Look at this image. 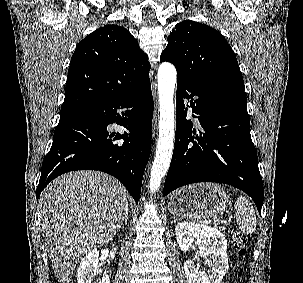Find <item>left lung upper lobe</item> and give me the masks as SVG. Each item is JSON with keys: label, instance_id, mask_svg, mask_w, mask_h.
<instances>
[{"label": "left lung upper lobe", "instance_id": "left-lung-upper-lobe-1", "mask_svg": "<svg viewBox=\"0 0 303 283\" xmlns=\"http://www.w3.org/2000/svg\"><path fill=\"white\" fill-rule=\"evenodd\" d=\"M161 61L171 62L178 77L203 84H224L244 92V81L231 46L217 30L198 22L178 23L168 36Z\"/></svg>", "mask_w": 303, "mask_h": 283}]
</instances>
